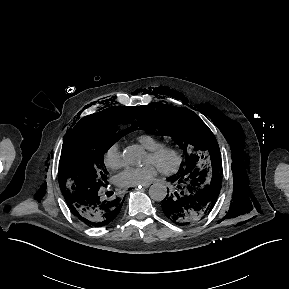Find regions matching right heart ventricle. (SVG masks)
<instances>
[{"mask_svg":"<svg viewBox=\"0 0 289 289\" xmlns=\"http://www.w3.org/2000/svg\"><path fill=\"white\" fill-rule=\"evenodd\" d=\"M136 138L147 150L163 145V142L159 138L150 133H141Z\"/></svg>","mask_w":289,"mask_h":289,"instance_id":"right-heart-ventricle-1","label":"right heart ventricle"}]
</instances>
